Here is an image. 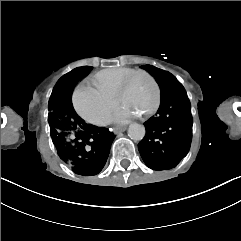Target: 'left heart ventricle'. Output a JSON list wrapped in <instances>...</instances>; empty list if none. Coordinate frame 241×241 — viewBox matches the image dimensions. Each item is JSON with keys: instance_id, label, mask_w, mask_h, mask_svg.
<instances>
[{"instance_id": "obj_1", "label": "left heart ventricle", "mask_w": 241, "mask_h": 241, "mask_svg": "<svg viewBox=\"0 0 241 241\" xmlns=\"http://www.w3.org/2000/svg\"><path fill=\"white\" fill-rule=\"evenodd\" d=\"M152 85L145 77H140L126 85L124 96V107L135 114H142L153 104L155 97Z\"/></svg>"}]
</instances>
